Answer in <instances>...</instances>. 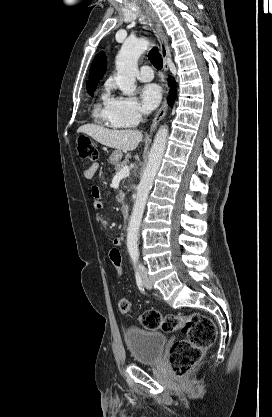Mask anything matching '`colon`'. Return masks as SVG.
<instances>
[{"mask_svg":"<svg viewBox=\"0 0 272 417\" xmlns=\"http://www.w3.org/2000/svg\"><path fill=\"white\" fill-rule=\"evenodd\" d=\"M78 154L84 160L94 161L98 158L97 147L86 136L78 138ZM110 261L118 277L123 273L122 255L119 247L112 246L109 251ZM120 312L131 316L133 308L131 302L120 299L118 303ZM139 321L147 329H160L170 333L180 330L186 338L176 341L169 353V361L175 375L183 378L200 362L204 351L215 341L217 330L214 322L207 316L192 313L188 315L166 314L148 310L143 312Z\"/></svg>","mask_w":272,"mask_h":417,"instance_id":"obj_1","label":"colon"}]
</instances>
